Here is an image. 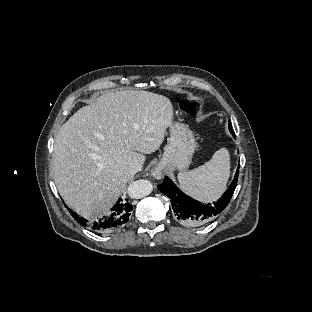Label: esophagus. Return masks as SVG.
Returning <instances> with one entry per match:
<instances>
[{
  "label": "esophagus",
  "instance_id": "obj_1",
  "mask_svg": "<svg viewBox=\"0 0 312 312\" xmlns=\"http://www.w3.org/2000/svg\"><path fill=\"white\" fill-rule=\"evenodd\" d=\"M152 176L159 180L162 177V173L158 169H153L152 170Z\"/></svg>",
  "mask_w": 312,
  "mask_h": 312
}]
</instances>
